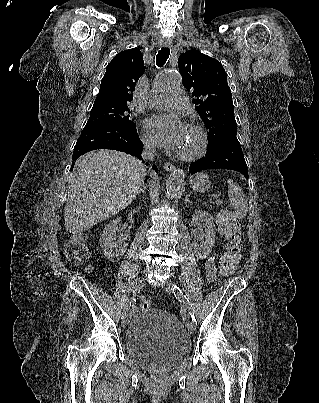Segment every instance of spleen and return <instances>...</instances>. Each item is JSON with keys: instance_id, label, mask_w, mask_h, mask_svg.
<instances>
[{"instance_id": "1", "label": "spleen", "mask_w": 319, "mask_h": 403, "mask_svg": "<svg viewBox=\"0 0 319 403\" xmlns=\"http://www.w3.org/2000/svg\"><path fill=\"white\" fill-rule=\"evenodd\" d=\"M229 201L234 207V216L242 219L248 213V201L242 188L232 179L227 180Z\"/></svg>"}]
</instances>
